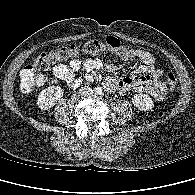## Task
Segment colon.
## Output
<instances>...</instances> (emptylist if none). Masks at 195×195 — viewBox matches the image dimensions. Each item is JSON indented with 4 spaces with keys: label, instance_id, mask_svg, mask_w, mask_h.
<instances>
[{
    "label": "colon",
    "instance_id": "1",
    "mask_svg": "<svg viewBox=\"0 0 195 195\" xmlns=\"http://www.w3.org/2000/svg\"><path fill=\"white\" fill-rule=\"evenodd\" d=\"M110 52L124 61H130L135 58V50L127 48L121 44L119 39L114 36H108L104 40H90L83 45H71L63 47L49 53H43L35 60L22 68L20 71V86L22 91L31 92L41 86L44 77L39 73L40 70H47L53 64L68 60L81 54H102ZM167 83L171 91H175L178 81L174 73L168 72L166 75Z\"/></svg>",
    "mask_w": 195,
    "mask_h": 195
}]
</instances>
